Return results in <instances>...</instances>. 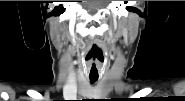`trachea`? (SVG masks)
Instances as JSON below:
<instances>
[{
    "label": "trachea",
    "instance_id": "3493384b",
    "mask_svg": "<svg viewBox=\"0 0 185 101\" xmlns=\"http://www.w3.org/2000/svg\"><path fill=\"white\" fill-rule=\"evenodd\" d=\"M99 74H98V68L97 66L93 63L91 68H90V73H89V79L92 83L96 82L98 80Z\"/></svg>",
    "mask_w": 185,
    "mask_h": 101
}]
</instances>
